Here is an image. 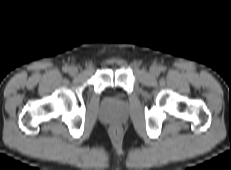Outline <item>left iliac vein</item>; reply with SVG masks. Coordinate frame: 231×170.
I'll list each match as a JSON object with an SVG mask.
<instances>
[{"label": "left iliac vein", "mask_w": 231, "mask_h": 170, "mask_svg": "<svg viewBox=\"0 0 231 170\" xmlns=\"http://www.w3.org/2000/svg\"><path fill=\"white\" fill-rule=\"evenodd\" d=\"M160 73V69L158 66H151L150 68V75L153 76V77H157Z\"/></svg>", "instance_id": "obj_1"}]
</instances>
